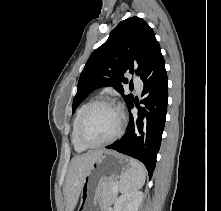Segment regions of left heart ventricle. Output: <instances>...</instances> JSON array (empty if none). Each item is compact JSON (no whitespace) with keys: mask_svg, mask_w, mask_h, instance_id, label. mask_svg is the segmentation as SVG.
Listing matches in <instances>:
<instances>
[{"mask_svg":"<svg viewBox=\"0 0 221 211\" xmlns=\"http://www.w3.org/2000/svg\"><path fill=\"white\" fill-rule=\"evenodd\" d=\"M119 122V113L115 108L106 105L98 106L86 119L84 135L90 142L104 141L116 132Z\"/></svg>","mask_w":221,"mask_h":211,"instance_id":"b2bd125f","label":"left heart ventricle"}]
</instances>
